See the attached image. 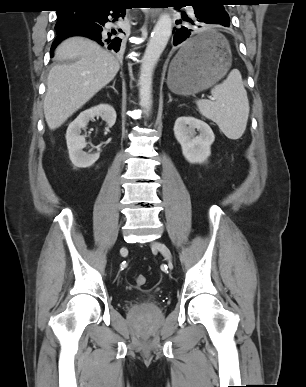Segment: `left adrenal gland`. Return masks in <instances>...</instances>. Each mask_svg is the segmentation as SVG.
Returning <instances> with one entry per match:
<instances>
[{
    "label": "left adrenal gland",
    "mask_w": 306,
    "mask_h": 387,
    "mask_svg": "<svg viewBox=\"0 0 306 387\" xmlns=\"http://www.w3.org/2000/svg\"><path fill=\"white\" fill-rule=\"evenodd\" d=\"M168 97H169V101H168V103L172 102V97H171V95H170V94H168Z\"/></svg>",
    "instance_id": "a2214340"
}]
</instances>
